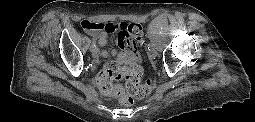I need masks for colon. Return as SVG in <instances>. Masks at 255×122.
Listing matches in <instances>:
<instances>
[{
    "instance_id": "1",
    "label": "colon",
    "mask_w": 255,
    "mask_h": 122,
    "mask_svg": "<svg viewBox=\"0 0 255 122\" xmlns=\"http://www.w3.org/2000/svg\"><path fill=\"white\" fill-rule=\"evenodd\" d=\"M81 28L88 33L119 31L124 36L130 37L137 45L142 44V26L138 23H112L83 20ZM124 80L127 93L119 91V86L114 82ZM98 84L102 92L117 95L119 102L126 107L133 105L135 99L148 96L152 90L150 79L142 82V69L138 65L123 66L117 62L109 63L99 74Z\"/></svg>"
}]
</instances>
